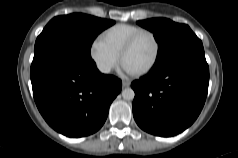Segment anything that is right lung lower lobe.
Returning a JSON list of instances; mask_svg holds the SVG:
<instances>
[{
    "label": "right lung lower lobe",
    "mask_w": 238,
    "mask_h": 158,
    "mask_svg": "<svg viewBox=\"0 0 238 158\" xmlns=\"http://www.w3.org/2000/svg\"><path fill=\"white\" fill-rule=\"evenodd\" d=\"M30 77L33 96L45 121L68 137H83L104 124L122 82L98 71L92 58L58 43L34 51Z\"/></svg>",
    "instance_id": "obj_1"
}]
</instances>
